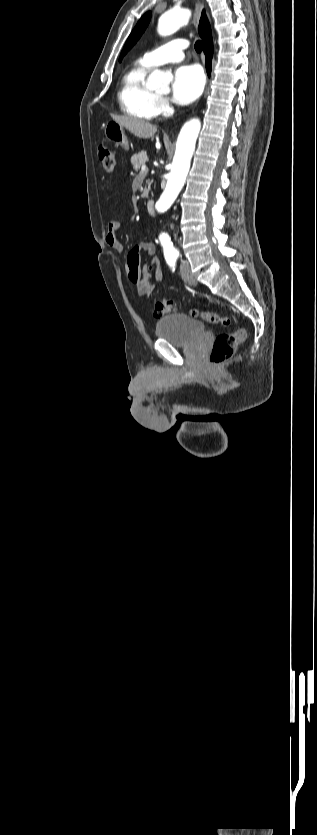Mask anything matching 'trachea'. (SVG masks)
<instances>
[{
  "instance_id": "obj_1",
  "label": "trachea",
  "mask_w": 317,
  "mask_h": 835,
  "mask_svg": "<svg viewBox=\"0 0 317 835\" xmlns=\"http://www.w3.org/2000/svg\"><path fill=\"white\" fill-rule=\"evenodd\" d=\"M194 48H195V50H196L198 53H200V52L202 51V49H203V43H202V41H200V40L196 41V43H195V45H194Z\"/></svg>"
}]
</instances>
